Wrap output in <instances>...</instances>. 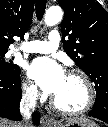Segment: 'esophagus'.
I'll list each match as a JSON object with an SVG mask.
<instances>
[{
    "mask_svg": "<svg viewBox=\"0 0 108 127\" xmlns=\"http://www.w3.org/2000/svg\"><path fill=\"white\" fill-rule=\"evenodd\" d=\"M42 127H55L56 122L53 117L49 115H43L41 118Z\"/></svg>",
    "mask_w": 108,
    "mask_h": 127,
    "instance_id": "obj_1",
    "label": "esophagus"
}]
</instances>
